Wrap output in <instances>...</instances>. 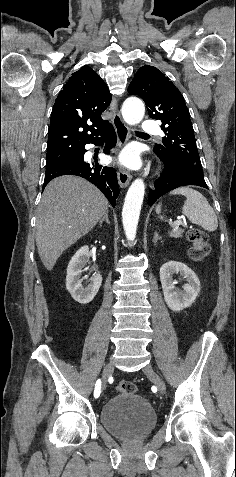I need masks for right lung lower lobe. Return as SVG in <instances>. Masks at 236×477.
Segmentation results:
<instances>
[{"label": "right lung lower lobe", "mask_w": 236, "mask_h": 477, "mask_svg": "<svg viewBox=\"0 0 236 477\" xmlns=\"http://www.w3.org/2000/svg\"><path fill=\"white\" fill-rule=\"evenodd\" d=\"M106 142L104 152L109 153L110 149L116 143V134L112 125L101 135L89 143L100 145ZM87 143V144H89ZM85 146L81 148L74 156L73 160L63 162L55 166L46 167L43 188L55 177L62 175H76L87 179L96 185L107 197L113 207H115L116 198L119 194V186L116 171L112 167L99 165L97 160L94 162H85Z\"/></svg>", "instance_id": "right-lung-lower-lobe-1"}]
</instances>
